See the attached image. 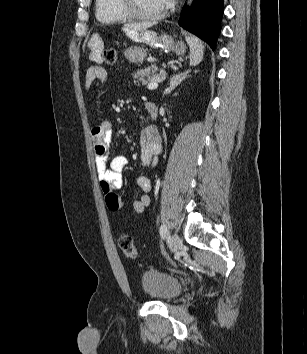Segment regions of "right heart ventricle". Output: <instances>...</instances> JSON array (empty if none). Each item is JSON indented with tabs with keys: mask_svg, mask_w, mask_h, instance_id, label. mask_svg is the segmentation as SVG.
I'll list each match as a JSON object with an SVG mask.
<instances>
[{
	"mask_svg": "<svg viewBox=\"0 0 307 354\" xmlns=\"http://www.w3.org/2000/svg\"><path fill=\"white\" fill-rule=\"evenodd\" d=\"M95 15L103 24L120 23L129 19L118 8L117 0H96Z\"/></svg>",
	"mask_w": 307,
	"mask_h": 354,
	"instance_id": "obj_1",
	"label": "right heart ventricle"
}]
</instances>
